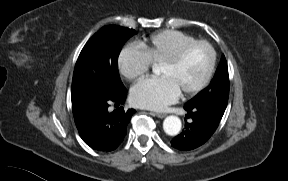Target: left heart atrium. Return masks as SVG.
I'll use <instances>...</instances> for the list:
<instances>
[{
  "label": "left heart atrium",
  "mask_w": 288,
  "mask_h": 181,
  "mask_svg": "<svg viewBox=\"0 0 288 181\" xmlns=\"http://www.w3.org/2000/svg\"><path fill=\"white\" fill-rule=\"evenodd\" d=\"M180 91L173 82L165 77L146 78L131 89V99L136 106L162 110L176 101Z\"/></svg>",
  "instance_id": "left-heart-atrium-1"
}]
</instances>
